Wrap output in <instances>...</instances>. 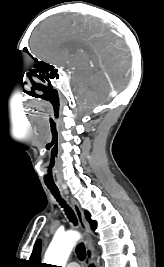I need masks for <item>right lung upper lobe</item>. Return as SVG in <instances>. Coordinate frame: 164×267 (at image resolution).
<instances>
[{
  "instance_id": "obj_1",
  "label": "right lung upper lobe",
  "mask_w": 164,
  "mask_h": 267,
  "mask_svg": "<svg viewBox=\"0 0 164 267\" xmlns=\"http://www.w3.org/2000/svg\"><path fill=\"white\" fill-rule=\"evenodd\" d=\"M40 252H41V240H38L33 248L32 255L30 257L29 263L32 267H41L40 262Z\"/></svg>"
}]
</instances>
